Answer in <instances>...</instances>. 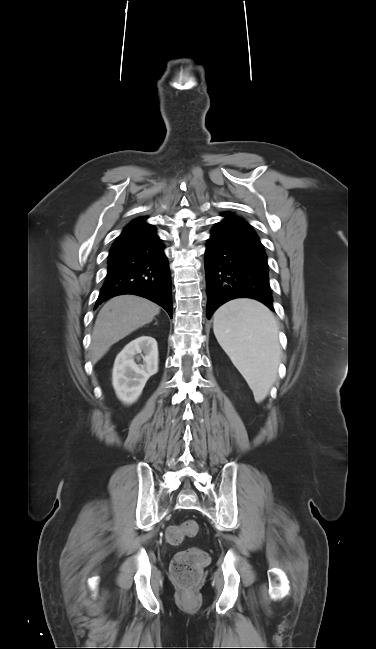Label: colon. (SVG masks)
<instances>
[{
  "label": "colon",
  "mask_w": 376,
  "mask_h": 649,
  "mask_svg": "<svg viewBox=\"0 0 376 649\" xmlns=\"http://www.w3.org/2000/svg\"><path fill=\"white\" fill-rule=\"evenodd\" d=\"M200 526L195 520H186L167 528L165 538L171 545L180 544L184 538L196 536ZM209 563V555L198 548H189L177 553L170 566L173 580L184 589H192L199 582L204 567Z\"/></svg>",
  "instance_id": "1"
}]
</instances>
